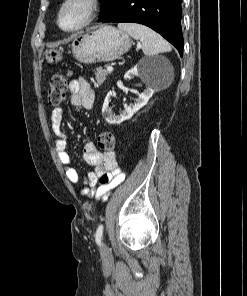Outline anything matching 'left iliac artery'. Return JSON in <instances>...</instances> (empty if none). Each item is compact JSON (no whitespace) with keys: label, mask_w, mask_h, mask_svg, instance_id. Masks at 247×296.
<instances>
[{"label":"left iliac artery","mask_w":247,"mask_h":296,"mask_svg":"<svg viewBox=\"0 0 247 296\" xmlns=\"http://www.w3.org/2000/svg\"><path fill=\"white\" fill-rule=\"evenodd\" d=\"M102 234H103V225H100V226L97 228V230H96V234H95V238H96V242H97V244H101Z\"/></svg>","instance_id":"left-iliac-artery-1"}]
</instances>
